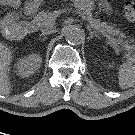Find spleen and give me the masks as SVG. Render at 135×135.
I'll list each match as a JSON object with an SVG mask.
<instances>
[{
  "instance_id": "3e777b00",
  "label": "spleen",
  "mask_w": 135,
  "mask_h": 135,
  "mask_svg": "<svg viewBox=\"0 0 135 135\" xmlns=\"http://www.w3.org/2000/svg\"><path fill=\"white\" fill-rule=\"evenodd\" d=\"M119 87L127 89L135 85V64L124 63L119 67Z\"/></svg>"
}]
</instances>
